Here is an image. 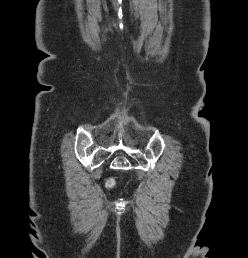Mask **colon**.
<instances>
[{
    "label": "colon",
    "instance_id": "5ec220e1",
    "mask_svg": "<svg viewBox=\"0 0 248 258\" xmlns=\"http://www.w3.org/2000/svg\"><path fill=\"white\" fill-rule=\"evenodd\" d=\"M114 184H115V182H114V180L112 178L107 179L106 186L108 188H112L114 186Z\"/></svg>",
    "mask_w": 248,
    "mask_h": 258
}]
</instances>
